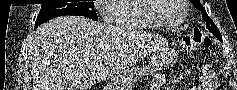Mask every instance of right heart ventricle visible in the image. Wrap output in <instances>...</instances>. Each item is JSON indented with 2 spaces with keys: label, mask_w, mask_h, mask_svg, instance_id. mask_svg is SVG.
Returning <instances> with one entry per match:
<instances>
[{
  "label": "right heart ventricle",
  "mask_w": 237,
  "mask_h": 90,
  "mask_svg": "<svg viewBox=\"0 0 237 90\" xmlns=\"http://www.w3.org/2000/svg\"><path fill=\"white\" fill-rule=\"evenodd\" d=\"M143 2L147 0H119L116 4L108 7V24H114V28H142L155 29L152 20H148L147 15L143 14Z\"/></svg>",
  "instance_id": "obj_1"
}]
</instances>
